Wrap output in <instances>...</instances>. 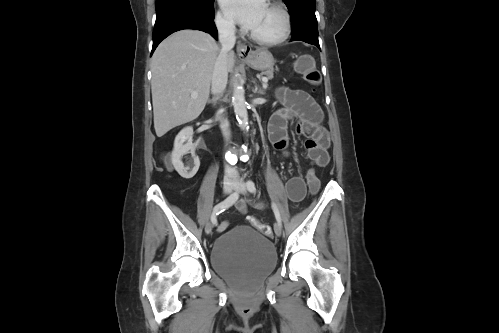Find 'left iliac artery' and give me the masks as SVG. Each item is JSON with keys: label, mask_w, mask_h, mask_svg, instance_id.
<instances>
[{"label": "left iliac artery", "mask_w": 499, "mask_h": 333, "mask_svg": "<svg viewBox=\"0 0 499 333\" xmlns=\"http://www.w3.org/2000/svg\"><path fill=\"white\" fill-rule=\"evenodd\" d=\"M246 185H247V189H248L249 192H251V193H255L256 192V185H255V183L252 180H248L247 183H246ZM272 209H273V212H274V215H275V218H276L278 224L280 226H282L280 213H279V210H278V208H277V206H276L275 203H272Z\"/></svg>", "instance_id": "left-iliac-artery-1"}]
</instances>
